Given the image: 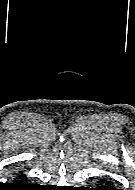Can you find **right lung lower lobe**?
Wrapping results in <instances>:
<instances>
[{
    "mask_svg": "<svg viewBox=\"0 0 135 190\" xmlns=\"http://www.w3.org/2000/svg\"><path fill=\"white\" fill-rule=\"evenodd\" d=\"M15 190H38V185L35 184H24V183H15L14 184Z\"/></svg>",
    "mask_w": 135,
    "mask_h": 190,
    "instance_id": "obj_1",
    "label": "right lung lower lobe"
}]
</instances>
